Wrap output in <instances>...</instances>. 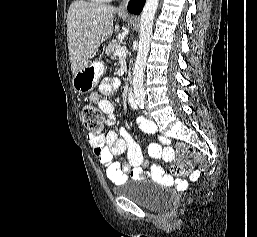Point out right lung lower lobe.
<instances>
[{"label":"right lung lower lobe","mask_w":257,"mask_h":237,"mask_svg":"<svg viewBox=\"0 0 257 237\" xmlns=\"http://www.w3.org/2000/svg\"><path fill=\"white\" fill-rule=\"evenodd\" d=\"M146 0H130L128 5V11L130 13L139 15Z\"/></svg>","instance_id":"right-lung-lower-lobe-1"}]
</instances>
